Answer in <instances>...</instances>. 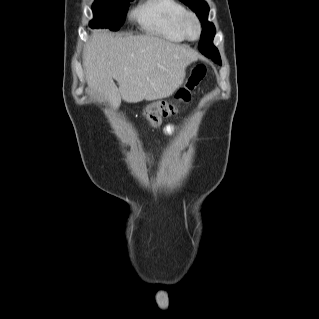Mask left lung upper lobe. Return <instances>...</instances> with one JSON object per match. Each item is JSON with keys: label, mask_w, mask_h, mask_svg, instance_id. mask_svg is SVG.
Segmentation results:
<instances>
[{"label": "left lung upper lobe", "mask_w": 319, "mask_h": 319, "mask_svg": "<svg viewBox=\"0 0 319 319\" xmlns=\"http://www.w3.org/2000/svg\"><path fill=\"white\" fill-rule=\"evenodd\" d=\"M188 7H190L198 16L202 25V32L199 43V50H209V52L215 56H217V60L215 61L218 64H221V59L217 48L214 45H207L209 41H213L215 35V27L214 25L208 21V13L209 7L207 3L203 0H180ZM200 45H202L200 47Z\"/></svg>", "instance_id": "1"}]
</instances>
